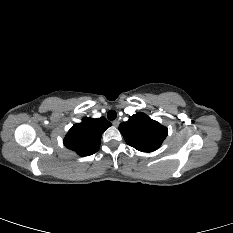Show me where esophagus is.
<instances>
[{"label": "esophagus", "instance_id": "1", "mask_svg": "<svg viewBox=\"0 0 233 233\" xmlns=\"http://www.w3.org/2000/svg\"><path fill=\"white\" fill-rule=\"evenodd\" d=\"M112 124H113L114 127H118L119 126V120H114L112 122Z\"/></svg>", "mask_w": 233, "mask_h": 233}]
</instances>
